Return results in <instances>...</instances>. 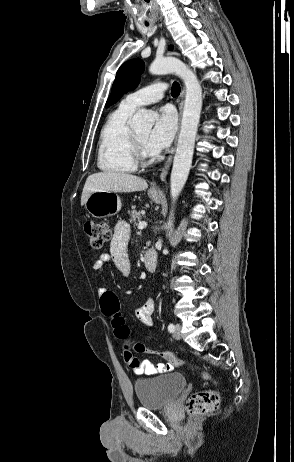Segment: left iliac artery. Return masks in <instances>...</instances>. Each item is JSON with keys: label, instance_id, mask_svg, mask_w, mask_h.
Masks as SVG:
<instances>
[{"label": "left iliac artery", "instance_id": "obj_1", "mask_svg": "<svg viewBox=\"0 0 294 462\" xmlns=\"http://www.w3.org/2000/svg\"><path fill=\"white\" fill-rule=\"evenodd\" d=\"M174 328H175L174 325H173L172 323H169V325H168V331H169L170 333L174 332Z\"/></svg>", "mask_w": 294, "mask_h": 462}]
</instances>
